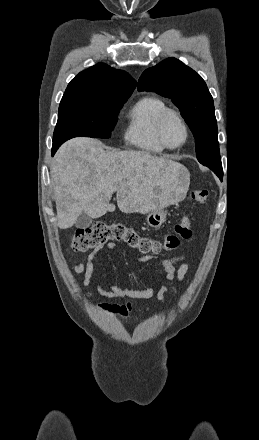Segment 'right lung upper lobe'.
I'll return each mask as SVG.
<instances>
[{
    "label": "right lung upper lobe",
    "mask_w": 259,
    "mask_h": 440,
    "mask_svg": "<svg viewBox=\"0 0 259 440\" xmlns=\"http://www.w3.org/2000/svg\"><path fill=\"white\" fill-rule=\"evenodd\" d=\"M136 85L126 72L99 63L80 72L69 83L62 99L107 104L129 98Z\"/></svg>",
    "instance_id": "1"
}]
</instances>
